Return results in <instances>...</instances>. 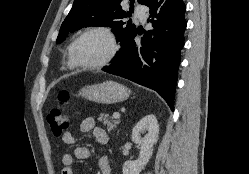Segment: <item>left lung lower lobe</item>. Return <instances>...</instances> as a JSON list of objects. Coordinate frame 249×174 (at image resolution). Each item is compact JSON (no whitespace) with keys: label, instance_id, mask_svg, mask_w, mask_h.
I'll use <instances>...</instances> for the list:
<instances>
[{"label":"left lung lower lobe","instance_id":"left-lung-lower-lobe-1","mask_svg":"<svg viewBox=\"0 0 249 174\" xmlns=\"http://www.w3.org/2000/svg\"><path fill=\"white\" fill-rule=\"evenodd\" d=\"M152 30L145 32L141 45L128 40L103 71L127 78L151 88L174 108V93L177 83L181 49L184 46L186 6L183 0H149Z\"/></svg>","mask_w":249,"mask_h":174}]
</instances>
